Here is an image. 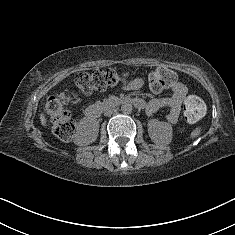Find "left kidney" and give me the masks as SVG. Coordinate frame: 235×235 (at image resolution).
Listing matches in <instances>:
<instances>
[{
	"label": "left kidney",
	"mask_w": 235,
	"mask_h": 235,
	"mask_svg": "<svg viewBox=\"0 0 235 235\" xmlns=\"http://www.w3.org/2000/svg\"><path fill=\"white\" fill-rule=\"evenodd\" d=\"M148 134L151 140L159 145H169L173 138V128L172 125L159 121L157 119L148 120Z\"/></svg>",
	"instance_id": "5707ae66"
}]
</instances>
